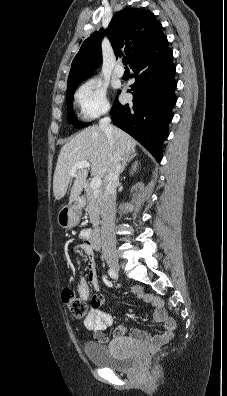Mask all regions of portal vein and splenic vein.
<instances>
[{"mask_svg":"<svg viewBox=\"0 0 227 396\" xmlns=\"http://www.w3.org/2000/svg\"><path fill=\"white\" fill-rule=\"evenodd\" d=\"M90 166H91V164H90L88 161H80V162H77V163L72 167V169H71V171H70V175H71V176H74L76 170L79 169V168H89ZM101 184H102L101 178L95 176V177H93V179H92L91 182H90V188H91L92 190H98V189L100 188Z\"/></svg>","mask_w":227,"mask_h":396,"instance_id":"obj_1","label":"portal vein and splenic vein"}]
</instances>
